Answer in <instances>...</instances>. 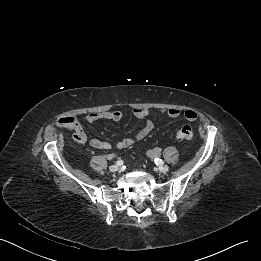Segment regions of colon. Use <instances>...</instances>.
<instances>
[{
    "mask_svg": "<svg viewBox=\"0 0 261 261\" xmlns=\"http://www.w3.org/2000/svg\"><path fill=\"white\" fill-rule=\"evenodd\" d=\"M58 123L64 126L73 123V117L65 116L58 119ZM176 138L180 141H190L193 138V130L190 126L185 125L176 132Z\"/></svg>",
    "mask_w": 261,
    "mask_h": 261,
    "instance_id": "colon-1",
    "label": "colon"
}]
</instances>
